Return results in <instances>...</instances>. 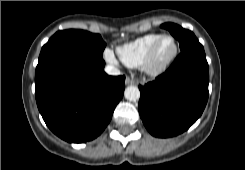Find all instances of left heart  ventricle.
<instances>
[{
	"label": "left heart ventricle",
	"mask_w": 245,
	"mask_h": 170,
	"mask_svg": "<svg viewBox=\"0 0 245 170\" xmlns=\"http://www.w3.org/2000/svg\"><path fill=\"white\" fill-rule=\"evenodd\" d=\"M172 51V43L169 39H164L156 52L155 61L160 62L164 60Z\"/></svg>",
	"instance_id": "1"
}]
</instances>
